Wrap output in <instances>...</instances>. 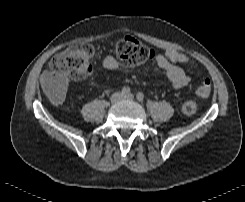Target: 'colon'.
<instances>
[{
	"label": "colon",
	"instance_id": "colon-1",
	"mask_svg": "<svg viewBox=\"0 0 245 202\" xmlns=\"http://www.w3.org/2000/svg\"><path fill=\"white\" fill-rule=\"evenodd\" d=\"M94 48L89 43H81L66 48L56 54L50 61V70L58 75H64L72 80H82L92 72V57ZM116 55L119 61L132 66L142 65L155 57V51L132 35H124L116 42ZM184 56L179 61H184ZM213 90L210 79H205L196 89L199 99L207 98ZM59 96V94H55ZM197 110L195 100H189L182 106V113L192 116Z\"/></svg>",
	"mask_w": 245,
	"mask_h": 202
}]
</instances>
